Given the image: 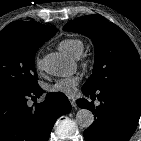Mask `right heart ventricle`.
<instances>
[{"mask_svg": "<svg viewBox=\"0 0 141 141\" xmlns=\"http://www.w3.org/2000/svg\"><path fill=\"white\" fill-rule=\"evenodd\" d=\"M58 48L65 54L78 58L84 50V42L79 38H66L60 41Z\"/></svg>", "mask_w": 141, "mask_h": 141, "instance_id": "right-heart-ventricle-1", "label": "right heart ventricle"}]
</instances>
